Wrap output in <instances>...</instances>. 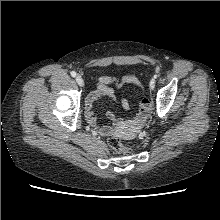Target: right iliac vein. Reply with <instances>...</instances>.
I'll list each match as a JSON object with an SVG mask.
<instances>
[{
    "instance_id": "right-iliac-vein-1",
    "label": "right iliac vein",
    "mask_w": 220,
    "mask_h": 220,
    "mask_svg": "<svg viewBox=\"0 0 220 220\" xmlns=\"http://www.w3.org/2000/svg\"><path fill=\"white\" fill-rule=\"evenodd\" d=\"M76 82L79 86H81V87L84 86V81H83L82 77L79 75L76 76Z\"/></svg>"
}]
</instances>
